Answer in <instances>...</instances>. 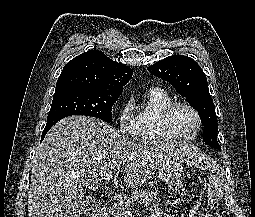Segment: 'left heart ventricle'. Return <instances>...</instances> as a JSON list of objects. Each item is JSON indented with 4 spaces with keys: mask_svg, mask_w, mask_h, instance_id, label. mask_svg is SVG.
<instances>
[{
    "mask_svg": "<svg viewBox=\"0 0 255 217\" xmlns=\"http://www.w3.org/2000/svg\"><path fill=\"white\" fill-rule=\"evenodd\" d=\"M171 123L175 132L182 136L193 135L198 126L196 116L185 107L175 109L172 114Z\"/></svg>",
    "mask_w": 255,
    "mask_h": 217,
    "instance_id": "obj_1",
    "label": "left heart ventricle"
}]
</instances>
